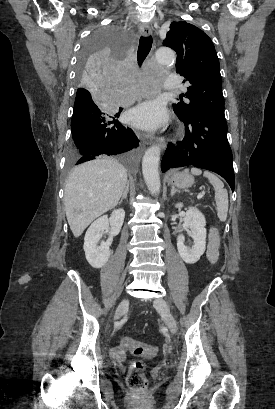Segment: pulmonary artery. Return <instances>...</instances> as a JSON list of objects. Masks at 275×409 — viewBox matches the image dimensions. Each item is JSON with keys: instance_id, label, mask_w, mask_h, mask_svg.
Here are the masks:
<instances>
[{"instance_id": "e3ab8cb5", "label": "pulmonary artery", "mask_w": 275, "mask_h": 409, "mask_svg": "<svg viewBox=\"0 0 275 409\" xmlns=\"http://www.w3.org/2000/svg\"><path fill=\"white\" fill-rule=\"evenodd\" d=\"M168 78L169 79H167L166 81H165V86L167 87V88H178V86H179V81H178V76H177V74L176 73H170L169 75H168Z\"/></svg>"}]
</instances>
